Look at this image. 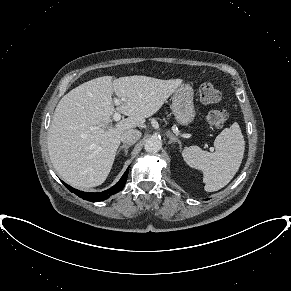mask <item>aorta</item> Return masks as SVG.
<instances>
[{"label": "aorta", "instance_id": "aorta-1", "mask_svg": "<svg viewBox=\"0 0 291 291\" xmlns=\"http://www.w3.org/2000/svg\"><path fill=\"white\" fill-rule=\"evenodd\" d=\"M162 148V141L157 137L149 138L144 145V149L146 152L155 153L160 151Z\"/></svg>", "mask_w": 291, "mask_h": 291}]
</instances>
